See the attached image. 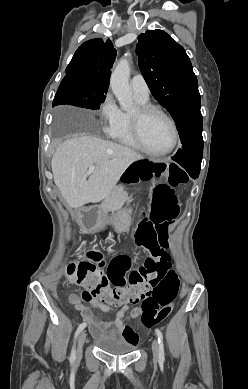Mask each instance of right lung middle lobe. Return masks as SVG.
<instances>
[{
    "label": "right lung middle lobe",
    "mask_w": 248,
    "mask_h": 389,
    "mask_svg": "<svg viewBox=\"0 0 248 389\" xmlns=\"http://www.w3.org/2000/svg\"><path fill=\"white\" fill-rule=\"evenodd\" d=\"M107 90V87L88 83L82 73H70L63 78L55 95L53 106L69 104L96 110L104 102Z\"/></svg>",
    "instance_id": "obj_1"
}]
</instances>
